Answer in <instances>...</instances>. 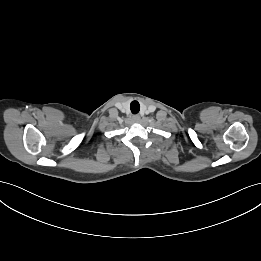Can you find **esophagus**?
<instances>
[{"label":"esophagus","mask_w":261,"mask_h":261,"mask_svg":"<svg viewBox=\"0 0 261 261\" xmlns=\"http://www.w3.org/2000/svg\"><path fill=\"white\" fill-rule=\"evenodd\" d=\"M132 119L134 122L138 123V122H140L141 117L139 115H134Z\"/></svg>","instance_id":"34e87169"}]
</instances>
